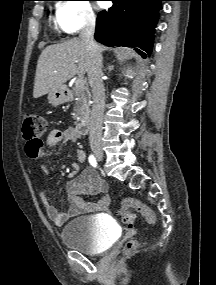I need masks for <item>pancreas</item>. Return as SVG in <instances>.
I'll list each match as a JSON object with an SVG mask.
<instances>
[{
  "mask_svg": "<svg viewBox=\"0 0 216 285\" xmlns=\"http://www.w3.org/2000/svg\"><path fill=\"white\" fill-rule=\"evenodd\" d=\"M72 95L75 100L74 119H84L89 115V95L88 88L74 86Z\"/></svg>",
  "mask_w": 216,
  "mask_h": 285,
  "instance_id": "1",
  "label": "pancreas"
}]
</instances>
